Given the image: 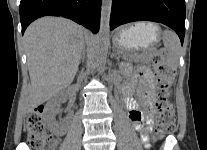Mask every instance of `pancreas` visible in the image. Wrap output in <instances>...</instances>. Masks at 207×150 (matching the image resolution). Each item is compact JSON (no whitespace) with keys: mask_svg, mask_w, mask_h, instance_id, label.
<instances>
[{"mask_svg":"<svg viewBox=\"0 0 207 150\" xmlns=\"http://www.w3.org/2000/svg\"><path fill=\"white\" fill-rule=\"evenodd\" d=\"M155 55L152 51H145L142 53H131L127 55L129 60L141 62V63H148L152 60L153 56Z\"/></svg>","mask_w":207,"mask_h":150,"instance_id":"cf45deb5","label":"pancreas"}]
</instances>
